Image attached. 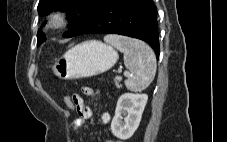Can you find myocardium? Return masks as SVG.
Returning <instances> with one entry per match:
<instances>
[{"instance_id":"1","label":"myocardium","mask_w":227,"mask_h":142,"mask_svg":"<svg viewBox=\"0 0 227 142\" xmlns=\"http://www.w3.org/2000/svg\"><path fill=\"white\" fill-rule=\"evenodd\" d=\"M72 21V14L66 9H55L46 17L45 26L50 30L62 29L70 24Z\"/></svg>"}]
</instances>
